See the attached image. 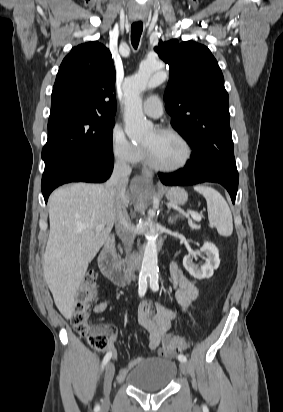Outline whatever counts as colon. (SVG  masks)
I'll return each mask as SVG.
<instances>
[{
  "instance_id": "obj_1",
  "label": "colon",
  "mask_w": 283,
  "mask_h": 412,
  "mask_svg": "<svg viewBox=\"0 0 283 412\" xmlns=\"http://www.w3.org/2000/svg\"><path fill=\"white\" fill-rule=\"evenodd\" d=\"M98 275L90 271L78 289L73 305L69 311V319L75 332L85 337L88 344L96 349L103 350L108 344V335L102 327H93L89 322L90 308L94 300ZM186 348V341L178 335H167L163 340V350L167 353L182 351Z\"/></svg>"
}]
</instances>
